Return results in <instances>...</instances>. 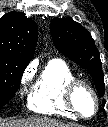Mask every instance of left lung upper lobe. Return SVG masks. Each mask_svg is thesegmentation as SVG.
Returning <instances> with one entry per match:
<instances>
[{
	"instance_id": "5c2ea615",
	"label": "left lung upper lobe",
	"mask_w": 108,
	"mask_h": 127,
	"mask_svg": "<svg viewBox=\"0 0 108 127\" xmlns=\"http://www.w3.org/2000/svg\"><path fill=\"white\" fill-rule=\"evenodd\" d=\"M51 35L60 52L87 69L99 95L103 96L105 84L102 63L90 33L72 18H55L51 22Z\"/></svg>"
}]
</instances>
